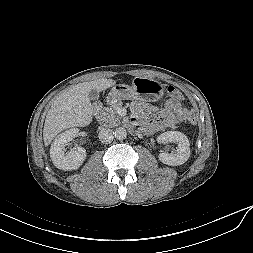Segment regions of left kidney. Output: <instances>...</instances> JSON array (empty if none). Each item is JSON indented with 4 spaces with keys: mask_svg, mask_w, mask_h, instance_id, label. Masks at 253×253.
Wrapping results in <instances>:
<instances>
[{
    "mask_svg": "<svg viewBox=\"0 0 253 253\" xmlns=\"http://www.w3.org/2000/svg\"><path fill=\"white\" fill-rule=\"evenodd\" d=\"M158 143L175 142L177 150L175 153H160L159 160L170 166L184 164L190 157V144L187 136L178 131H167L157 137Z\"/></svg>",
    "mask_w": 253,
    "mask_h": 253,
    "instance_id": "left-kidney-1",
    "label": "left kidney"
}]
</instances>
